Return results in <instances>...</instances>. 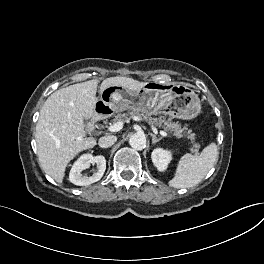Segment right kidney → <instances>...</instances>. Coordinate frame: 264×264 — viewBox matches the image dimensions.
Wrapping results in <instances>:
<instances>
[{
	"mask_svg": "<svg viewBox=\"0 0 264 264\" xmlns=\"http://www.w3.org/2000/svg\"><path fill=\"white\" fill-rule=\"evenodd\" d=\"M91 164H96L97 172L92 176L82 175L84 169L89 168ZM106 170V160L102 155L92 156L91 154H84L74 163L69 174V180L78 186H87L99 181Z\"/></svg>",
	"mask_w": 264,
	"mask_h": 264,
	"instance_id": "right-kidney-1",
	"label": "right kidney"
}]
</instances>
